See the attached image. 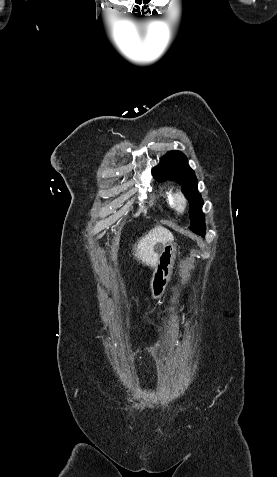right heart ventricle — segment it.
Listing matches in <instances>:
<instances>
[{
    "label": "right heart ventricle",
    "mask_w": 277,
    "mask_h": 477,
    "mask_svg": "<svg viewBox=\"0 0 277 477\" xmlns=\"http://www.w3.org/2000/svg\"><path fill=\"white\" fill-rule=\"evenodd\" d=\"M161 194H162V196H163V198H164V202H166V204L172 206V205H173V196H172V194H171L169 191H167V190L162 191Z\"/></svg>",
    "instance_id": "obj_1"
}]
</instances>
